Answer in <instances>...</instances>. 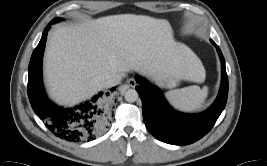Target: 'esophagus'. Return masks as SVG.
<instances>
[{"instance_id":"1","label":"esophagus","mask_w":267,"mask_h":166,"mask_svg":"<svg viewBox=\"0 0 267 166\" xmlns=\"http://www.w3.org/2000/svg\"><path fill=\"white\" fill-rule=\"evenodd\" d=\"M126 83H127V87H132V88H134L137 85V82L135 78L133 77L127 79Z\"/></svg>"}]
</instances>
